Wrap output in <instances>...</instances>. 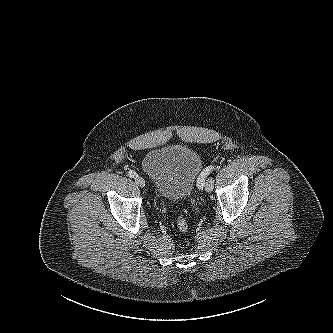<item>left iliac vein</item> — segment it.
Instances as JSON below:
<instances>
[{"label":"left iliac vein","instance_id":"1","mask_svg":"<svg viewBox=\"0 0 333 333\" xmlns=\"http://www.w3.org/2000/svg\"><path fill=\"white\" fill-rule=\"evenodd\" d=\"M213 185H214V180H213V178H208V180L206 181V183H205V190L207 191V192H211L212 191V189H213Z\"/></svg>","mask_w":333,"mask_h":333}]
</instances>
